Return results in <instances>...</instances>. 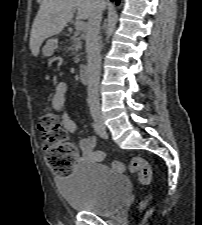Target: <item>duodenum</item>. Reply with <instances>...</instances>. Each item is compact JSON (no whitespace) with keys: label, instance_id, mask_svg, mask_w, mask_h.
<instances>
[{"label":"duodenum","instance_id":"duodenum-1","mask_svg":"<svg viewBox=\"0 0 202 225\" xmlns=\"http://www.w3.org/2000/svg\"><path fill=\"white\" fill-rule=\"evenodd\" d=\"M80 74H81L82 80L85 83H88L89 79H90V67H89L88 64H84V65L81 66Z\"/></svg>","mask_w":202,"mask_h":225}]
</instances>
